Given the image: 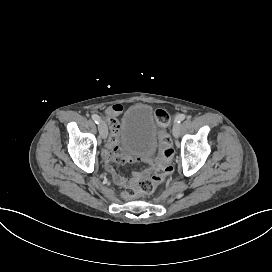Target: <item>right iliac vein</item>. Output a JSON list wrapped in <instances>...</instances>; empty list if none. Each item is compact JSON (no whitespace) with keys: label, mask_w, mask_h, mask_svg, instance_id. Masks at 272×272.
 Returning <instances> with one entry per match:
<instances>
[{"label":"right iliac vein","mask_w":272,"mask_h":272,"mask_svg":"<svg viewBox=\"0 0 272 272\" xmlns=\"http://www.w3.org/2000/svg\"><path fill=\"white\" fill-rule=\"evenodd\" d=\"M98 128H99L100 136L102 137L103 140H106L108 135V129H107L106 123L104 121H100Z\"/></svg>","instance_id":"1"}]
</instances>
